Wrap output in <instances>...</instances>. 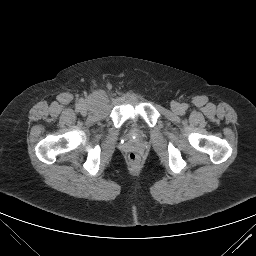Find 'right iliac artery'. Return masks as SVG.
Wrapping results in <instances>:
<instances>
[{
  "label": "right iliac artery",
  "instance_id": "obj_1",
  "mask_svg": "<svg viewBox=\"0 0 256 256\" xmlns=\"http://www.w3.org/2000/svg\"><path fill=\"white\" fill-rule=\"evenodd\" d=\"M80 108H81V104H78V105H77V109H80Z\"/></svg>",
  "mask_w": 256,
  "mask_h": 256
}]
</instances>
